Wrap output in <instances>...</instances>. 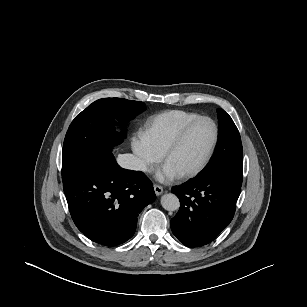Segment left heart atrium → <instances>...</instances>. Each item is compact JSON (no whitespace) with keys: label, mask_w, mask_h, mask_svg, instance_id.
Segmentation results:
<instances>
[{"label":"left heart atrium","mask_w":307,"mask_h":307,"mask_svg":"<svg viewBox=\"0 0 307 307\" xmlns=\"http://www.w3.org/2000/svg\"><path fill=\"white\" fill-rule=\"evenodd\" d=\"M179 173L171 168L169 165L165 164L163 168L158 172L157 178L162 182L171 181L179 177Z\"/></svg>","instance_id":"left-heart-atrium-1"}]
</instances>
